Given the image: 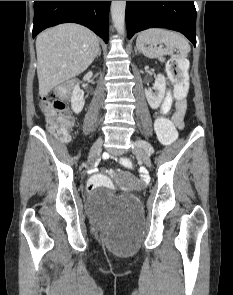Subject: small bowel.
<instances>
[{
    "mask_svg": "<svg viewBox=\"0 0 233 295\" xmlns=\"http://www.w3.org/2000/svg\"><path fill=\"white\" fill-rule=\"evenodd\" d=\"M173 102V95L170 90L167 91L165 99L161 106L159 107V112L162 116L166 115L168 111L170 110V107ZM185 109H186V103L184 100H179L176 103V111L172 117L173 124L177 128H182L184 124V114H185Z\"/></svg>",
    "mask_w": 233,
    "mask_h": 295,
    "instance_id": "c3829d8e",
    "label": "small bowel"
}]
</instances>
